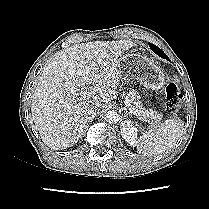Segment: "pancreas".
I'll return each instance as SVG.
<instances>
[{"label": "pancreas", "instance_id": "pancreas-1", "mask_svg": "<svg viewBox=\"0 0 209 209\" xmlns=\"http://www.w3.org/2000/svg\"><path fill=\"white\" fill-rule=\"evenodd\" d=\"M125 102H127V104L135 110L134 115L142 121L155 125L162 120V114L153 111L152 109H145L141 106L140 96L135 90L130 91L126 95Z\"/></svg>", "mask_w": 209, "mask_h": 209}]
</instances>
